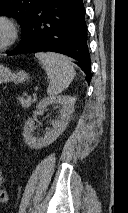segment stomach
I'll return each instance as SVG.
<instances>
[{
  "label": "stomach",
  "mask_w": 128,
  "mask_h": 213,
  "mask_svg": "<svg viewBox=\"0 0 128 213\" xmlns=\"http://www.w3.org/2000/svg\"><path fill=\"white\" fill-rule=\"evenodd\" d=\"M28 79L29 75L24 70L13 72L8 67L0 64V84L7 82L23 83Z\"/></svg>",
  "instance_id": "0dacf381"
}]
</instances>
